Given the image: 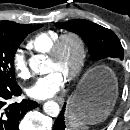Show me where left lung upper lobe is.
<instances>
[{"label": "left lung upper lobe", "mask_w": 130, "mask_h": 130, "mask_svg": "<svg viewBox=\"0 0 130 130\" xmlns=\"http://www.w3.org/2000/svg\"><path fill=\"white\" fill-rule=\"evenodd\" d=\"M56 27L80 35L89 48L91 60L124 57L122 45L113 31L84 19L56 23Z\"/></svg>", "instance_id": "1"}]
</instances>
